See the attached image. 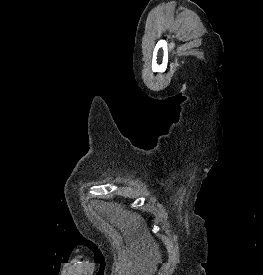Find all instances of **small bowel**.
<instances>
[{
	"label": "small bowel",
	"mask_w": 263,
	"mask_h": 275,
	"mask_svg": "<svg viewBox=\"0 0 263 275\" xmlns=\"http://www.w3.org/2000/svg\"><path fill=\"white\" fill-rule=\"evenodd\" d=\"M140 262V257L135 256V264ZM133 267L132 263H125L123 265V268L120 270L119 275H125L127 273V271Z\"/></svg>",
	"instance_id": "small-bowel-1"
}]
</instances>
